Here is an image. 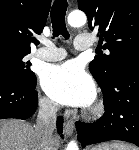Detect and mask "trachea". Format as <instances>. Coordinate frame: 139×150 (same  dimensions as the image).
<instances>
[{
  "mask_svg": "<svg viewBox=\"0 0 139 150\" xmlns=\"http://www.w3.org/2000/svg\"><path fill=\"white\" fill-rule=\"evenodd\" d=\"M68 3L66 0H55L51 9V20L53 27V36L62 35L69 39V34L65 25V15Z\"/></svg>",
  "mask_w": 139,
  "mask_h": 150,
  "instance_id": "trachea-1",
  "label": "trachea"
}]
</instances>
